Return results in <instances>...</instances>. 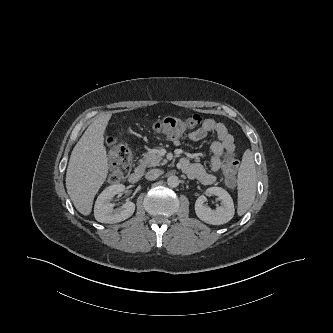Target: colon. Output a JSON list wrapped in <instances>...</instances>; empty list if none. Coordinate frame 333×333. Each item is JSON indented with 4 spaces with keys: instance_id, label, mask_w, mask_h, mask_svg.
Returning a JSON list of instances; mask_svg holds the SVG:
<instances>
[{
    "instance_id": "1",
    "label": "colon",
    "mask_w": 333,
    "mask_h": 333,
    "mask_svg": "<svg viewBox=\"0 0 333 333\" xmlns=\"http://www.w3.org/2000/svg\"><path fill=\"white\" fill-rule=\"evenodd\" d=\"M199 123L200 119L196 115L185 118L168 117L156 120L153 123V129L158 134L175 139ZM107 142L109 145V155L113 162L108 179L111 183H116L127 177L131 171V151L127 145L119 143L114 137L108 138ZM237 169L238 160L236 159L235 152L227 151L226 160L223 163V171L226 183L229 186H234L236 183Z\"/></svg>"
}]
</instances>
